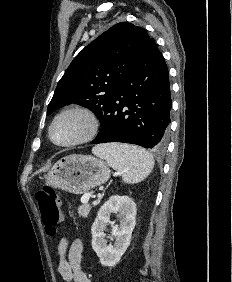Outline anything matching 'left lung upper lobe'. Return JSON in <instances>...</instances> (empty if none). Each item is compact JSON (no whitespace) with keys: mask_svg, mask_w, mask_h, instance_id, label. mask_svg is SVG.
<instances>
[{"mask_svg":"<svg viewBox=\"0 0 232 282\" xmlns=\"http://www.w3.org/2000/svg\"><path fill=\"white\" fill-rule=\"evenodd\" d=\"M149 39L143 28L131 23L112 26L71 62L57 84L47 113L75 103L90 109L102 121Z\"/></svg>","mask_w":232,"mask_h":282,"instance_id":"left-lung-upper-lobe-1","label":"left lung upper lobe"}]
</instances>
